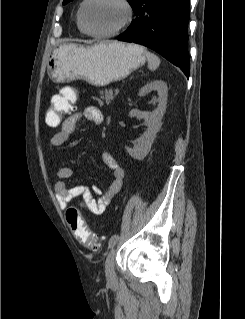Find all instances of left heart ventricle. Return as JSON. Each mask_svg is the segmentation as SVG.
I'll return each mask as SVG.
<instances>
[{
  "mask_svg": "<svg viewBox=\"0 0 245 319\" xmlns=\"http://www.w3.org/2000/svg\"><path fill=\"white\" fill-rule=\"evenodd\" d=\"M125 18L123 7L113 0H94L85 12V22L92 32H109Z\"/></svg>",
  "mask_w": 245,
  "mask_h": 319,
  "instance_id": "1",
  "label": "left heart ventricle"
}]
</instances>
